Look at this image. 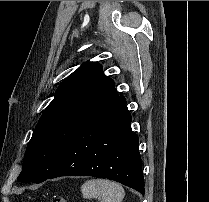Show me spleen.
Wrapping results in <instances>:
<instances>
[{
  "instance_id": "spleen-1",
  "label": "spleen",
  "mask_w": 209,
  "mask_h": 202,
  "mask_svg": "<svg viewBox=\"0 0 209 202\" xmlns=\"http://www.w3.org/2000/svg\"><path fill=\"white\" fill-rule=\"evenodd\" d=\"M81 192L83 198H97L99 202H122L125 196V191L120 184L106 179L85 181L81 186Z\"/></svg>"
}]
</instances>
